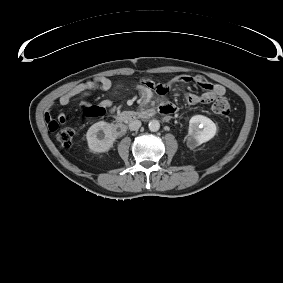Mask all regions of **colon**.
Wrapping results in <instances>:
<instances>
[{"instance_id":"5ec220e1","label":"colon","mask_w":283,"mask_h":283,"mask_svg":"<svg viewBox=\"0 0 283 283\" xmlns=\"http://www.w3.org/2000/svg\"><path fill=\"white\" fill-rule=\"evenodd\" d=\"M212 111L216 115L226 116L230 113V104L224 97H219L212 104ZM97 117V116H96ZM56 141L63 147L71 146L74 132L70 128H61L55 134Z\"/></svg>"}]
</instances>
